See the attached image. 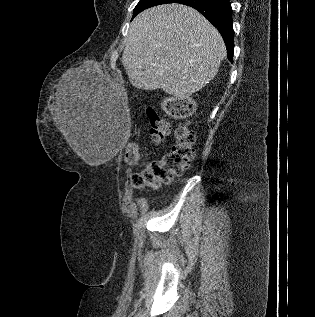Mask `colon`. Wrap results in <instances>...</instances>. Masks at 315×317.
Instances as JSON below:
<instances>
[{
    "label": "colon",
    "mask_w": 315,
    "mask_h": 317,
    "mask_svg": "<svg viewBox=\"0 0 315 317\" xmlns=\"http://www.w3.org/2000/svg\"><path fill=\"white\" fill-rule=\"evenodd\" d=\"M165 109L172 117L187 118L192 112L193 105L188 100H169L165 104ZM147 113L151 126V139L158 146L168 135L169 124L154 108H148ZM175 136L176 143L168 153L158 160L149 162L141 171L133 175L132 183L136 188H158L180 176L189 166L194 158V132L187 124H182L176 129ZM141 156L138 145L131 144L127 147L126 161L128 163H138Z\"/></svg>",
    "instance_id": "colon-1"
}]
</instances>
